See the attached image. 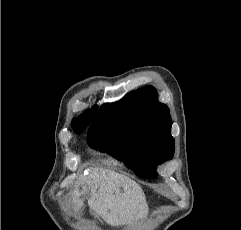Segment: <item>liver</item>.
I'll use <instances>...</instances> for the list:
<instances>
[{
	"label": "liver",
	"instance_id": "6515ba94",
	"mask_svg": "<svg viewBox=\"0 0 241 230\" xmlns=\"http://www.w3.org/2000/svg\"><path fill=\"white\" fill-rule=\"evenodd\" d=\"M88 205L110 225H118L147 212L142 188L130 178L103 168L89 175Z\"/></svg>",
	"mask_w": 241,
	"mask_h": 230
}]
</instances>
